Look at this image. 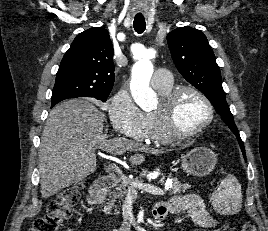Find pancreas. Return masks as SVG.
I'll return each mask as SVG.
<instances>
[{
	"label": "pancreas",
	"instance_id": "1",
	"mask_svg": "<svg viewBox=\"0 0 268 231\" xmlns=\"http://www.w3.org/2000/svg\"><path fill=\"white\" fill-rule=\"evenodd\" d=\"M148 173V171L143 170L142 173H140L139 177H136L135 179H126V180H118L114 190L109 192V198L107 199V202L104 206V212L105 214H112V209H114V214H119L118 212V206L116 203L121 202L123 200L124 196L128 193L129 188L131 186V181H137L142 182V178ZM162 185L165 188H169L170 194H178V193H184L188 189L191 188V185L188 183L182 184L177 180V178H168L167 182L164 183V180H162Z\"/></svg>",
	"mask_w": 268,
	"mask_h": 231
}]
</instances>
